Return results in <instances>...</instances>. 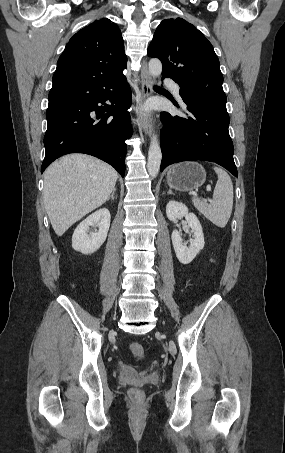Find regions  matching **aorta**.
I'll return each mask as SVG.
<instances>
[{
    "mask_svg": "<svg viewBox=\"0 0 285 453\" xmlns=\"http://www.w3.org/2000/svg\"><path fill=\"white\" fill-rule=\"evenodd\" d=\"M162 72V63L159 59H151L149 61V73L153 77H157ZM162 160V152L157 135L151 137V143L148 151L147 170L152 178L158 175L160 164Z\"/></svg>",
    "mask_w": 285,
    "mask_h": 453,
    "instance_id": "762f6f07",
    "label": "aorta"
}]
</instances>
